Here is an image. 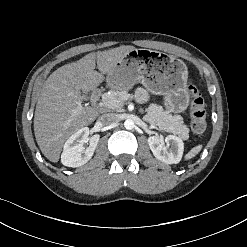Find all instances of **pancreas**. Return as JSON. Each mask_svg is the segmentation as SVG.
<instances>
[{"label": "pancreas", "mask_w": 247, "mask_h": 247, "mask_svg": "<svg viewBox=\"0 0 247 247\" xmlns=\"http://www.w3.org/2000/svg\"><path fill=\"white\" fill-rule=\"evenodd\" d=\"M133 96L128 92L121 91H110L109 94L104 95V101L117 100L119 101V106L113 108L118 112L122 111V107L126 100L132 99ZM146 114L143 119L153 126H157L159 129L166 132L178 135L180 138L187 140L189 138V128L183 124V119L179 115H171L167 111H163L161 106L151 104L146 108Z\"/></svg>", "instance_id": "obj_1"}]
</instances>
